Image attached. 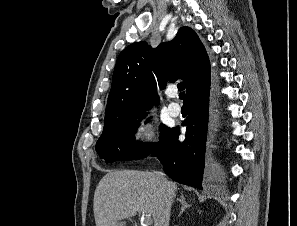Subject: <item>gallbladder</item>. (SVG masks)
I'll return each mask as SVG.
<instances>
[{
  "label": "gallbladder",
  "mask_w": 297,
  "mask_h": 226,
  "mask_svg": "<svg viewBox=\"0 0 297 226\" xmlns=\"http://www.w3.org/2000/svg\"><path fill=\"white\" fill-rule=\"evenodd\" d=\"M118 226H125L124 222H120Z\"/></svg>",
  "instance_id": "gallbladder-1"
}]
</instances>
